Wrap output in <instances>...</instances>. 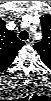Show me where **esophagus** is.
<instances>
[{
    "instance_id": "1",
    "label": "esophagus",
    "mask_w": 51,
    "mask_h": 101,
    "mask_svg": "<svg viewBox=\"0 0 51 101\" xmlns=\"http://www.w3.org/2000/svg\"><path fill=\"white\" fill-rule=\"evenodd\" d=\"M28 45H33L34 43V39L32 37H30L27 42H26Z\"/></svg>"
}]
</instances>
